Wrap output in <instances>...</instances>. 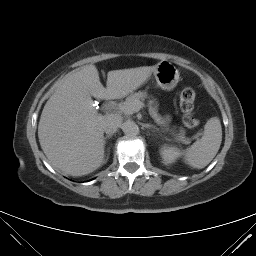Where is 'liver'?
<instances>
[{
	"instance_id": "liver-1",
	"label": "liver",
	"mask_w": 256,
	"mask_h": 256,
	"mask_svg": "<svg viewBox=\"0 0 256 256\" xmlns=\"http://www.w3.org/2000/svg\"><path fill=\"white\" fill-rule=\"evenodd\" d=\"M152 67L113 70L107 87L95 65L68 73L46 102L38 125V137L49 163L66 175L82 176L104 160V116L98 114L92 96L120 99L149 79Z\"/></svg>"
}]
</instances>
